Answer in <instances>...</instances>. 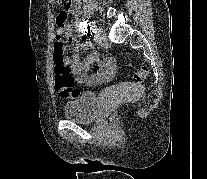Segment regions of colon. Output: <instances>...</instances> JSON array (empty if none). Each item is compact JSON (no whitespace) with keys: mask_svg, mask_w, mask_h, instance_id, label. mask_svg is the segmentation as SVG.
<instances>
[{"mask_svg":"<svg viewBox=\"0 0 207 179\" xmlns=\"http://www.w3.org/2000/svg\"><path fill=\"white\" fill-rule=\"evenodd\" d=\"M60 4H65V0H58ZM64 44L61 36H56L54 44V63H55V86L62 98H73L80 93V90L73 86L74 79L71 74V68L65 59ZM148 68L140 67L134 75L136 82L144 81L148 76Z\"/></svg>","mask_w":207,"mask_h":179,"instance_id":"obj_1","label":"colon"}]
</instances>
